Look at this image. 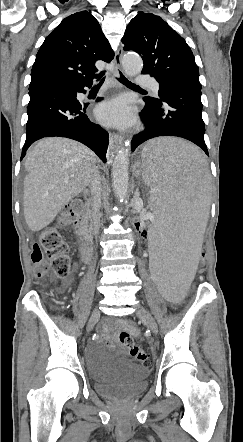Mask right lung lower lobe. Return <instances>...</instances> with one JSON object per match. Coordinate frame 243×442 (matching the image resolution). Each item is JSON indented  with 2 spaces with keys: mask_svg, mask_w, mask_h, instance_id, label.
Here are the masks:
<instances>
[{
  "mask_svg": "<svg viewBox=\"0 0 243 442\" xmlns=\"http://www.w3.org/2000/svg\"><path fill=\"white\" fill-rule=\"evenodd\" d=\"M92 83L93 81L82 85L45 83L29 88L26 141L21 159L36 140L60 136L85 144L106 162L108 133L88 119L85 114L87 104L76 98L77 93H85L84 88L91 87Z\"/></svg>",
  "mask_w": 243,
  "mask_h": 442,
  "instance_id": "98d812e1",
  "label": "right lung lower lobe"
}]
</instances>
